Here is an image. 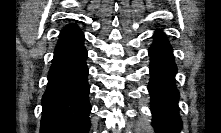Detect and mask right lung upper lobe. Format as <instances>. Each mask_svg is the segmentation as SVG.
Listing matches in <instances>:
<instances>
[{
	"instance_id": "right-lung-upper-lobe-1",
	"label": "right lung upper lobe",
	"mask_w": 221,
	"mask_h": 133,
	"mask_svg": "<svg viewBox=\"0 0 221 133\" xmlns=\"http://www.w3.org/2000/svg\"><path fill=\"white\" fill-rule=\"evenodd\" d=\"M82 31L74 24L67 25L59 35V40L73 39L82 36Z\"/></svg>"
}]
</instances>
